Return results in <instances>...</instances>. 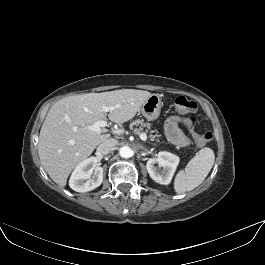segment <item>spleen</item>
<instances>
[{
	"instance_id": "1",
	"label": "spleen",
	"mask_w": 265,
	"mask_h": 265,
	"mask_svg": "<svg viewBox=\"0 0 265 265\" xmlns=\"http://www.w3.org/2000/svg\"><path fill=\"white\" fill-rule=\"evenodd\" d=\"M215 154L211 148L201 149L188 162L185 170L177 173L174 180V189L177 194H183L199 186L213 167Z\"/></svg>"
}]
</instances>
